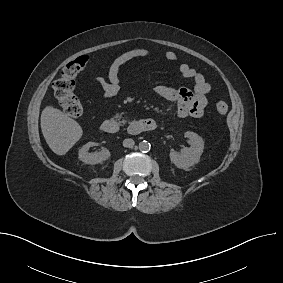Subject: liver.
<instances>
[{"label":"liver","mask_w":283,"mask_h":283,"mask_svg":"<svg viewBox=\"0 0 283 283\" xmlns=\"http://www.w3.org/2000/svg\"><path fill=\"white\" fill-rule=\"evenodd\" d=\"M41 129L46 143L57 155H65L83 135L77 121L51 105L41 113Z\"/></svg>","instance_id":"6515ba94"}]
</instances>
